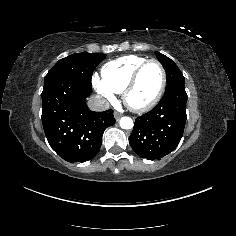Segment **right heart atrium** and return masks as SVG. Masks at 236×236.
Listing matches in <instances>:
<instances>
[{"mask_svg":"<svg viewBox=\"0 0 236 236\" xmlns=\"http://www.w3.org/2000/svg\"><path fill=\"white\" fill-rule=\"evenodd\" d=\"M92 86L95 89V91L106 101H113L115 98L114 93L109 90L105 84L103 83L102 79L96 74L94 73L92 75Z\"/></svg>","mask_w":236,"mask_h":236,"instance_id":"d8ad5b80","label":"right heart atrium"}]
</instances>
